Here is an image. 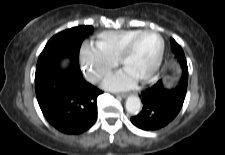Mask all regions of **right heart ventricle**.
I'll use <instances>...</instances> for the list:
<instances>
[{
  "label": "right heart ventricle",
  "mask_w": 225,
  "mask_h": 155,
  "mask_svg": "<svg viewBox=\"0 0 225 155\" xmlns=\"http://www.w3.org/2000/svg\"><path fill=\"white\" fill-rule=\"evenodd\" d=\"M141 29L108 30L96 35L94 43L96 49L106 56L118 60L125 44Z\"/></svg>",
  "instance_id": "right-heart-ventricle-1"
}]
</instances>
